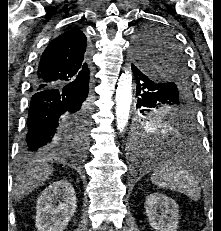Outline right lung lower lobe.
<instances>
[{"mask_svg": "<svg viewBox=\"0 0 221 231\" xmlns=\"http://www.w3.org/2000/svg\"><path fill=\"white\" fill-rule=\"evenodd\" d=\"M87 107L89 81L33 90L27 130L20 145L22 159L84 156L86 145L72 134L68 122Z\"/></svg>", "mask_w": 221, "mask_h": 231, "instance_id": "1", "label": "right lung lower lobe"}]
</instances>
